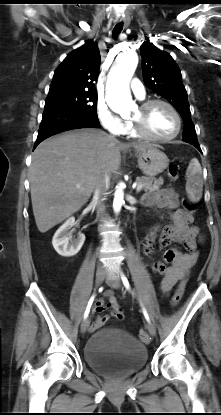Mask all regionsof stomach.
<instances>
[{
  "mask_svg": "<svg viewBox=\"0 0 221 415\" xmlns=\"http://www.w3.org/2000/svg\"><path fill=\"white\" fill-rule=\"evenodd\" d=\"M140 170L149 177L162 173L169 164V159L157 146L150 145L135 154Z\"/></svg>",
  "mask_w": 221,
  "mask_h": 415,
  "instance_id": "0dacf381",
  "label": "stomach"
}]
</instances>
